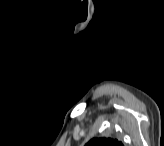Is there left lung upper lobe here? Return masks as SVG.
I'll use <instances>...</instances> for the list:
<instances>
[{"mask_svg": "<svg viewBox=\"0 0 164 146\" xmlns=\"http://www.w3.org/2000/svg\"><path fill=\"white\" fill-rule=\"evenodd\" d=\"M86 146H122V143L112 138H93Z\"/></svg>", "mask_w": 164, "mask_h": 146, "instance_id": "left-lung-upper-lobe-1", "label": "left lung upper lobe"}]
</instances>
